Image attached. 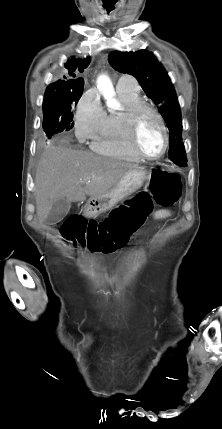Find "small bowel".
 I'll list each match as a JSON object with an SVG mask.
<instances>
[{
	"mask_svg": "<svg viewBox=\"0 0 222 429\" xmlns=\"http://www.w3.org/2000/svg\"><path fill=\"white\" fill-rule=\"evenodd\" d=\"M171 214L172 213L170 210H159V211H156L154 213V218L155 219H166V218L170 217Z\"/></svg>",
	"mask_w": 222,
	"mask_h": 429,
	"instance_id": "small-bowel-1",
	"label": "small bowel"
}]
</instances>
